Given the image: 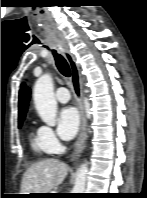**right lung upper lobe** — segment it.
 I'll use <instances>...</instances> for the list:
<instances>
[{
  "instance_id": "obj_1",
  "label": "right lung upper lobe",
  "mask_w": 147,
  "mask_h": 198,
  "mask_svg": "<svg viewBox=\"0 0 147 198\" xmlns=\"http://www.w3.org/2000/svg\"><path fill=\"white\" fill-rule=\"evenodd\" d=\"M29 99H30V88L26 86L25 83H23L19 91V106H18L19 120L25 118Z\"/></svg>"
}]
</instances>
